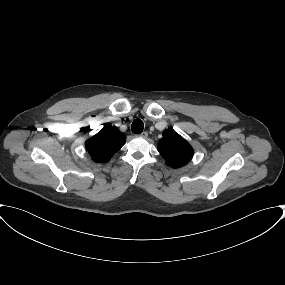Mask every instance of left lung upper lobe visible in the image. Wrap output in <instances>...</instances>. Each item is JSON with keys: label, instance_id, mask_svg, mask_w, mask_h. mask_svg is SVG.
I'll return each instance as SVG.
<instances>
[{"label": "left lung upper lobe", "instance_id": "left-lung-upper-lobe-1", "mask_svg": "<svg viewBox=\"0 0 285 285\" xmlns=\"http://www.w3.org/2000/svg\"><path fill=\"white\" fill-rule=\"evenodd\" d=\"M158 151L172 168L186 165L193 156L190 144L172 129L164 131L163 138L158 142Z\"/></svg>", "mask_w": 285, "mask_h": 285}]
</instances>
